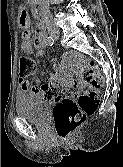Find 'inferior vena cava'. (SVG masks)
Instances as JSON below:
<instances>
[{"label": "inferior vena cava", "instance_id": "inferior-vena-cava-1", "mask_svg": "<svg viewBox=\"0 0 123 167\" xmlns=\"http://www.w3.org/2000/svg\"><path fill=\"white\" fill-rule=\"evenodd\" d=\"M43 10L46 12V13H48L49 14V7H48V5H47V3L43 0Z\"/></svg>", "mask_w": 123, "mask_h": 167}]
</instances>
